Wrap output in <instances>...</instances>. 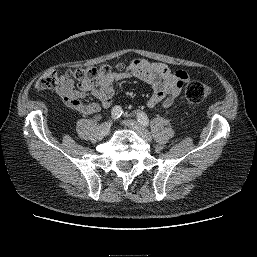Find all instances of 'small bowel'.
<instances>
[{"label":"small bowel","mask_w":257,"mask_h":257,"mask_svg":"<svg viewBox=\"0 0 257 257\" xmlns=\"http://www.w3.org/2000/svg\"><path fill=\"white\" fill-rule=\"evenodd\" d=\"M136 78L147 83L153 90L147 105L151 108L170 107L190 80L186 71L171 70L167 65L145 59L131 61L122 71L112 72L94 84H79L75 87L72 79L61 76L56 89L57 94L70 109L84 115H93L101 108H109L113 103L115 87L121 81ZM92 96L98 102L84 103L82 100Z\"/></svg>","instance_id":"small-bowel-1"}]
</instances>
